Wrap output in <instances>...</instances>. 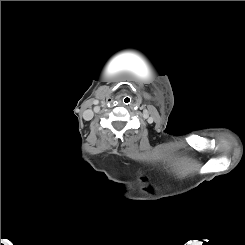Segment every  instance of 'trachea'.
Listing matches in <instances>:
<instances>
[{
    "label": "trachea",
    "instance_id": "trachea-1",
    "mask_svg": "<svg viewBox=\"0 0 245 245\" xmlns=\"http://www.w3.org/2000/svg\"><path fill=\"white\" fill-rule=\"evenodd\" d=\"M123 104L129 105L131 103V98L129 96H126L122 99Z\"/></svg>",
    "mask_w": 245,
    "mask_h": 245
}]
</instances>
